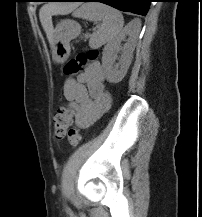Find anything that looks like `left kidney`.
Returning a JSON list of instances; mask_svg holds the SVG:
<instances>
[{
	"mask_svg": "<svg viewBox=\"0 0 202 217\" xmlns=\"http://www.w3.org/2000/svg\"><path fill=\"white\" fill-rule=\"evenodd\" d=\"M138 33L139 28L133 26L131 23L104 47L102 52V66L107 81L110 83H119L125 77L132 61L135 39ZM126 35H130V39L122 47L121 41L126 37ZM118 52H121V57L119 63L115 64Z\"/></svg>",
	"mask_w": 202,
	"mask_h": 217,
	"instance_id": "5707ae66",
	"label": "left kidney"
}]
</instances>
